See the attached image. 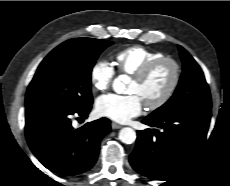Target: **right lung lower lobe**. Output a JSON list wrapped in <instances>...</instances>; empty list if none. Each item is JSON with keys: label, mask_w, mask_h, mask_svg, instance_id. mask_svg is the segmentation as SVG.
Here are the masks:
<instances>
[{"label": "right lung lower lobe", "mask_w": 230, "mask_h": 186, "mask_svg": "<svg viewBox=\"0 0 230 186\" xmlns=\"http://www.w3.org/2000/svg\"><path fill=\"white\" fill-rule=\"evenodd\" d=\"M46 105L27 108L25 133L33 154L50 171L60 175L83 173L95 164L101 139L110 132V120L101 118L74 129L72 115L87 117L91 110Z\"/></svg>", "instance_id": "1"}]
</instances>
